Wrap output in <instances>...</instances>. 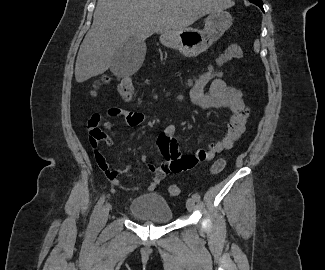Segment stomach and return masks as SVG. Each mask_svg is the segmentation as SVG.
I'll list each match as a JSON object with an SVG mask.
<instances>
[{
	"instance_id": "obj_1",
	"label": "stomach",
	"mask_w": 325,
	"mask_h": 270,
	"mask_svg": "<svg viewBox=\"0 0 325 270\" xmlns=\"http://www.w3.org/2000/svg\"><path fill=\"white\" fill-rule=\"evenodd\" d=\"M231 25L232 17L228 12H210L203 30H186L177 35L162 34L160 41L167 47L178 49L186 57L197 56L216 42Z\"/></svg>"
}]
</instances>
